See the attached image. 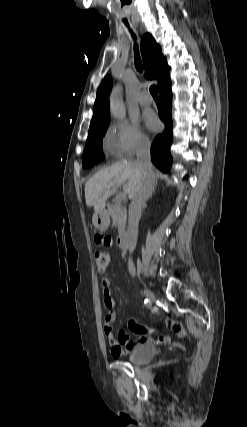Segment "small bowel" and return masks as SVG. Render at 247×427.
Returning <instances> with one entry per match:
<instances>
[{"label":"small bowel","instance_id":"small-bowel-1","mask_svg":"<svg viewBox=\"0 0 247 427\" xmlns=\"http://www.w3.org/2000/svg\"><path fill=\"white\" fill-rule=\"evenodd\" d=\"M95 243L98 246H102L105 250H109L114 246L110 235L106 234L105 232H98L96 234ZM102 286L104 306L107 309L104 318V330L111 346L112 355L118 357L122 354L130 353L137 345L151 341L153 339L154 329L138 324L133 317H129L127 319V326L131 331L138 335V339L136 341H131L126 332L123 330H120L118 334L115 335L112 326L116 317L114 311L115 301L111 295L110 281L107 278L103 279ZM166 325L178 337H185L186 331L184 327L173 318L168 319L166 321ZM158 342L168 344L170 342V338L168 336H160L158 338Z\"/></svg>","mask_w":247,"mask_h":427}]
</instances>
